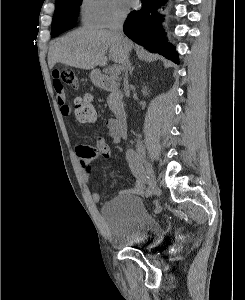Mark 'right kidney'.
<instances>
[{
    "instance_id": "1",
    "label": "right kidney",
    "mask_w": 245,
    "mask_h": 300,
    "mask_svg": "<svg viewBox=\"0 0 245 300\" xmlns=\"http://www.w3.org/2000/svg\"><path fill=\"white\" fill-rule=\"evenodd\" d=\"M142 93H143V95H148V92H147V88H146V87H144V88L142 89Z\"/></svg>"
}]
</instances>
